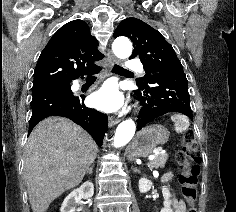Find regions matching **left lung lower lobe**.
<instances>
[{
    "label": "left lung lower lobe",
    "instance_id": "left-lung-lower-lobe-1",
    "mask_svg": "<svg viewBox=\"0 0 236 212\" xmlns=\"http://www.w3.org/2000/svg\"><path fill=\"white\" fill-rule=\"evenodd\" d=\"M135 95L142 106L137 130L170 112L182 113L192 120L187 78L183 67H173L154 74L147 86H139Z\"/></svg>",
    "mask_w": 236,
    "mask_h": 212
}]
</instances>
